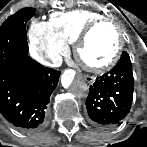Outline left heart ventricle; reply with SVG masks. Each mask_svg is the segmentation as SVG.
<instances>
[{"mask_svg":"<svg viewBox=\"0 0 147 147\" xmlns=\"http://www.w3.org/2000/svg\"><path fill=\"white\" fill-rule=\"evenodd\" d=\"M117 39L111 27L96 29L88 39L84 55L91 62H100L107 58L116 46Z\"/></svg>","mask_w":147,"mask_h":147,"instance_id":"b2bd125f","label":"left heart ventricle"}]
</instances>
